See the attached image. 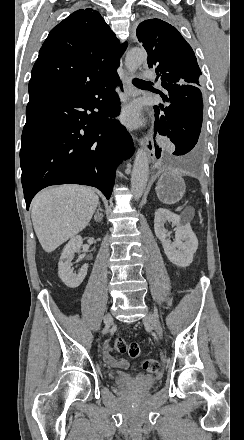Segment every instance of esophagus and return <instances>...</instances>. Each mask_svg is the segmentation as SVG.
I'll return each mask as SVG.
<instances>
[{"label": "esophagus", "instance_id": "1", "mask_svg": "<svg viewBox=\"0 0 244 440\" xmlns=\"http://www.w3.org/2000/svg\"><path fill=\"white\" fill-rule=\"evenodd\" d=\"M131 79H132V74L128 72L126 69H124L122 76V83L127 99H131L134 96L132 94L133 87L131 85ZM139 142L146 149L149 160L153 161L155 158L154 156L155 149H154V142L152 136L150 134L143 136L142 138L139 139Z\"/></svg>", "mask_w": 244, "mask_h": 440}]
</instances>
